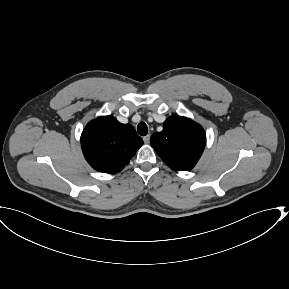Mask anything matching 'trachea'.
<instances>
[{"mask_svg":"<svg viewBox=\"0 0 289 289\" xmlns=\"http://www.w3.org/2000/svg\"><path fill=\"white\" fill-rule=\"evenodd\" d=\"M137 132L141 136H145L148 133V127L145 122H140L137 126Z\"/></svg>","mask_w":289,"mask_h":289,"instance_id":"1","label":"trachea"}]
</instances>
